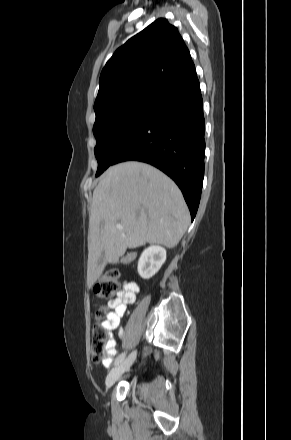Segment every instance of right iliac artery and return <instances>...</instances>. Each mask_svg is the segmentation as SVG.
I'll use <instances>...</instances> for the list:
<instances>
[{
    "label": "right iliac artery",
    "mask_w": 291,
    "mask_h": 440,
    "mask_svg": "<svg viewBox=\"0 0 291 440\" xmlns=\"http://www.w3.org/2000/svg\"><path fill=\"white\" fill-rule=\"evenodd\" d=\"M125 358V353H121L117 356V358L115 359L114 365L117 366L119 365Z\"/></svg>",
    "instance_id": "82829eb1"
}]
</instances>
